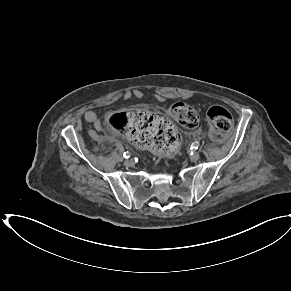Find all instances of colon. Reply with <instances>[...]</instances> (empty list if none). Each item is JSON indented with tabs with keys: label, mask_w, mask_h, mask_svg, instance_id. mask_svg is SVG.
I'll return each mask as SVG.
<instances>
[{
	"label": "colon",
	"mask_w": 291,
	"mask_h": 291,
	"mask_svg": "<svg viewBox=\"0 0 291 291\" xmlns=\"http://www.w3.org/2000/svg\"><path fill=\"white\" fill-rule=\"evenodd\" d=\"M172 117L182 126L194 128L198 125L197 112L184 102L171 107ZM107 125L115 132L126 136L139 147L171 156L178 146V134L173 123L166 117L145 110H132L111 114ZM210 136L220 140L233 127L230 112L222 106L213 105L207 111Z\"/></svg>",
	"instance_id": "obj_1"
}]
</instances>
